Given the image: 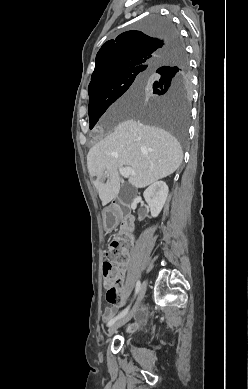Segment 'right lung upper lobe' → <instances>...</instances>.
<instances>
[{"instance_id": "right-lung-upper-lobe-1", "label": "right lung upper lobe", "mask_w": 248, "mask_h": 389, "mask_svg": "<svg viewBox=\"0 0 248 389\" xmlns=\"http://www.w3.org/2000/svg\"><path fill=\"white\" fill-rule=\"evenodd\" d=\"M179 41L177 34L155 37L136 30L107 41L97 53L88 92L107 82L115 72L139 67L150 70L164 56L178 49Z\"/></svg>"}]
</instances>
